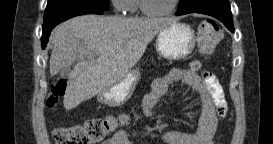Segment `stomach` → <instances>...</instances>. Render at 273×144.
<instances>
[{
  "mask_svg": "<svg viewBox=\"0 0 273 144\" xmlns=\"http://www.w3.org/2000/svg\"><path fill=\"white\" fill-rule=\"evenodd\" d=\"M155 46L158 54L163 58L183 59L194 49V30L188 24L174 22L158 33ZM140 76L138 69L130 70L123 79L102 91L98 96V101L110 107L124 104L132 96Z\"/></svg>",
  "mask_w": 273,
  "mask_h": 144,
  "instance_id": "stomach-1",
  "label": "stomach"
}]
</instances>
